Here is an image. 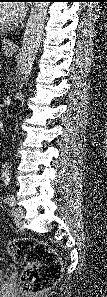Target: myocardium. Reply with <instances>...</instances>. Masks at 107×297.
I'll return each instance as SVG.
<instances>
[{"instance_id":"obj_1","label":"myocardium","mask_w":107,"mask_h":297,"mask_svg":"<svg viewBox=\"0 0 107 297\" xmlns=\"http://www.w3.org/2000/svg\"><path fill=\"white\" fill-rule=\"evenodd\" d=\"M11 27V24L9 23H1L0 24V32L6 31Z\"/></svg>"}]
</instances>
